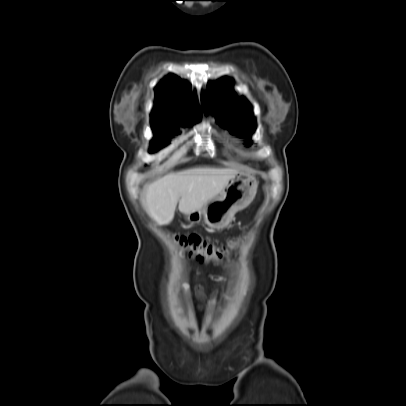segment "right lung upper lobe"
Returning a JSON list of instances; mask_svg holds the SVG:
<instances>
[{"mask_svg": "<svg viewBox=\"0 0 406 406\" xmlns=\"http://www.w3.org/2000/svg\"><path fill=\"white\" fill-rule=\"evenodd\" d=\"M171 82L177 87H180V81L171 78ZM156 104L161 114L152 115V123H174L176 124L181 119L177 111L182 108L185 112L190 111L193 115L199 117L200 109L196 101L187 92L180 94L178 92L167 91L163 88H157Z\"/></svg>", "mask_w": 406, "mask_h": 406, "instance_id": "right-lung-upper-lobe-1", "label": "right lung upper lobe"}]
</instances>
